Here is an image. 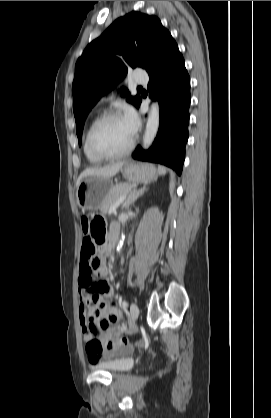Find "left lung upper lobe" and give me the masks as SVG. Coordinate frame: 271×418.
Segmentation results:
<instances>
[{
  "label": "left lung upper lobe",
  "mask_w": 271,
  "mask_h": 418,
  "mask_svg": "<svg viewBox=\"0 0 271 418\" xmlns=\"http://www.w3.org/2000/svg\"><path fill=\"white\" fill-rule=\"evenodd\" d=\"M172 37L156 16L130 12L115 20L92 41L75 66L73 110L79 145L85 119L98 99L114 87L128 68L142 67L147 72L158 62ZM128 95V90H124ZM140 96L127 101L138 106Z\"/></svg>",
  "instance_id": "1"
}]
</instances>
